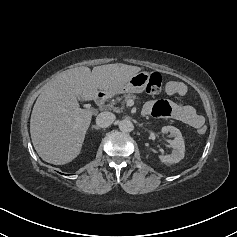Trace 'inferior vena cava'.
Instances as JSON below:
<instances>
[{
    "mask_svg": "<svg viewBox=\"0 0 237 237\" xmlns=\"http://www.w3.org/2000/svg\"><path fill=\"white\" fill-rule=\"evenodd\" d=\"M115 120V115L111 112H101L96 117V124L101 128L109 127Z\"/></svg>",
    "mask_w": 237,
    "mask_h": 237,
    "instance_id": "obj_1",
    "label": "inferior vena cava"
}]
</instances>
